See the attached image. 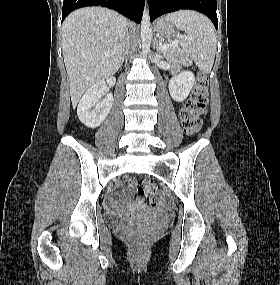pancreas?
Returning a JSON list of instances; mask_svg holds the SVG:
<instances>
[{
    "mask_svg": "<svg viewBox=\"0 0 280 285\" xmlns=\"http://www.w3.org/2000/svg\"><path fill=\"white\" fill-rule=\"evenodd\" d=\"M163 44H170V41L162 40ZM164 56L168 60L178 61L183 63H190L188 52L185 49L179 47H169L163 51Z\"/></svg>",
    "mask_w": 280,
    "mask_h": 285,
    "instance_id": "obj_1",
    "label": "pancreas"
}]
</instances>
